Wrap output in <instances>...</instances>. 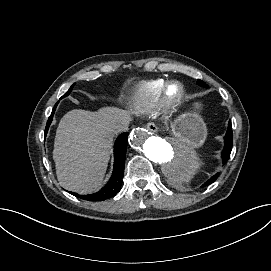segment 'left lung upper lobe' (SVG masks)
Instances as JSON below:
<instances>
[{
    "label": "left lung upper lobe",
    "instance_id": "5c2ea615",
    "mask_svg": "<svg viewBox=\"0 0 271 271\" xmlns=\"http://www.w3.org/2000/svg\"><path fill=\"white\" fill-rule=\"evenodd\" d=\"M197 84H198L199 86H202V87H207L206 83L203 82L202 80H198V81H197Z\"/></svg>",
    "mask_w": 271,
    "mask_h": 271
}]
</instances>
